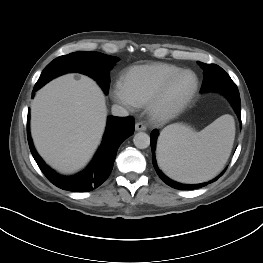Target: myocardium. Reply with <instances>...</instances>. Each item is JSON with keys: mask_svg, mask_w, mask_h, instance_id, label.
<instances>
[{"mask_svg": "<svg viewBox=\"0 0 263 263\" xmlns=\"http://www.w3.org/2000/svg\"><path fill=\"white\" fill-rule=\"evenodd\" d=\"M190 73L195 78V83L190 91V93L179 102L171 105L165 106L164 101L167 96V93L172 86V84L182 75ZM199 77L197 73L191 69H181L180 71L174 73L169 76L155 91V93L151 96L149 101L147 102V110L152 119L163 122L170 120L177 115H179L182 111H184L188 105L192 102L194 97L196 96L199 89Z\"/></svg>", "mask_w": 263, "mask_h": 263, "instance_id": "1", "label": "myocardium"}]
</instances>
